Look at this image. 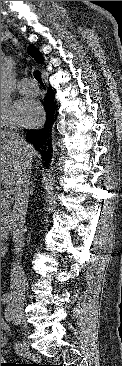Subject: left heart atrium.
<instances>
[{
  "label": "left heart atrium",
  "mask_w": 122,
  "mask_h": 366,
  "mask_svg": "<svg viewBox=\"0 0 122 366\" xmlns=\"http://www.w3.org/2000/svg\"><path fill=\"white\" fill-rule=\"evenodd\" d=\"M43 111L41 106L29 98L19 99L13 109V117L17 124L23 126L37 125L42 119Z\"/></svg>",
  "instance_id": "1"
}]
</instances>
